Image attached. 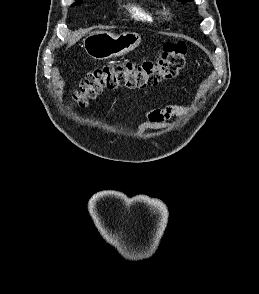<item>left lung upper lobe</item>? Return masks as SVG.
Returning <instances> with one entry per match:
<instances>
[{"instance_id": "left-lung-upper-lobe-1", "label": "left lung upper lobe", "mask_w": 259, "mask_h": 294, "mask_svg": "<svg viewBox=\"0 0 259 294\" xmlns=\"http://www.w3.org/2000/svg\"><path fill=\"white\" fill-rule=\"evenodd\" d=\"M177 1H180V2H182V3H186V2H188V1H192V0H177Z\"/></svg>"}]
</instances>
